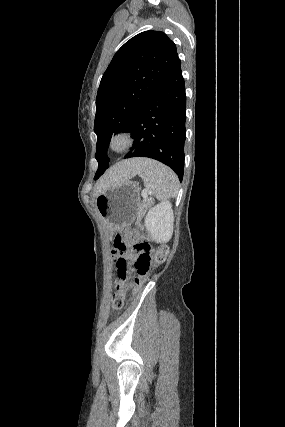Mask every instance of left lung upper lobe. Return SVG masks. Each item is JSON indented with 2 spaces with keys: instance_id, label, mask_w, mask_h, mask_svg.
Here are the masks:
<instances>
[{
  "instance_id": "obj_1",
  "label": "left lung upper lobe",
  "mask_w": 285,
  "mask_h": 427,
  "mask_svg": "<svg viewBox=\"0 0 285 427\" xmlns=\"http://www.w3.org/2000/svg\"><path fill=\"white\" fill-rule=\"evenodd\" d=\"M178 60L176 45L159 31L142 32L116 52L103 74L96 97L95 158L99 167L95 180L109 166L107 148L113 134L129 130Z\"/></svg>"
}]
</instances>
